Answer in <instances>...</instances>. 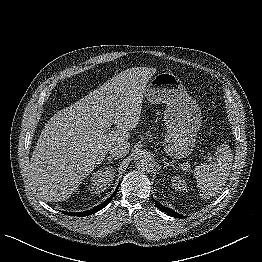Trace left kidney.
Masks as SVG:
<instances>
[{
    "label": "left kidney",
    "mask_w": 262,
    "mask_h": 262,
    "mask_svg": "<svg viewBox=\"0 0 262 262\" xmlns=\"http://www.w3.org/2000/svg\"><path fill=\"white\" fill-rule=\"evenodd\" d=\"M172 187L178 191H187V184L185 180H183L179 176H173L171 179Z\"/></svg>",
    "instance_id": "1"
}]
</instances>
